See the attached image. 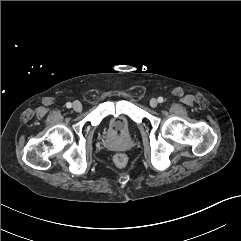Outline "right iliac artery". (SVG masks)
<instances>
[{
  "instance_id": "right-iliac-artery-1",
  "label": "right iliac artery",
  "mask_w": 241,
  "mask_h": 241,
  "mask_svg": "<svg viewBox=\"0 0 241 241\" xmlns=\"http://www.w3.org/2000/svg\"><path fill=\"white\" fill-rule=\"evenodd\" d=\"M66 107H67V108H71V107H72V104H71L70 102H67V103H66Z\"/></svg>"
}]
</instances>
